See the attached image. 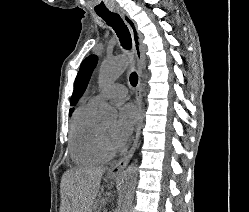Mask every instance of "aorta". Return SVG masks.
Masks as SVG:
<instances>
[{
	"instance_id": "1",
	"label": "aorta",
	"mask_w": 249,
	"mask_h": 212,
	"mask_svg": "<svg viewBox=\"0 0 249 212\" xmlns=\"http://www.w3.org/2000/svg\"><path fill=\"white\" fill-rule=\"evenodd\" d=\"M130 63L129 57L125 55L117 56L112 59L104 60L99 70V85L104 88L112 84L126 70ZM100 115L103 119H113L117 112L109 104L101 107ZM138 168L130 165L124 172L118 194V207L116 212H131L134 198V190L137 181Z\"/></svg>"
}]
</instances>
